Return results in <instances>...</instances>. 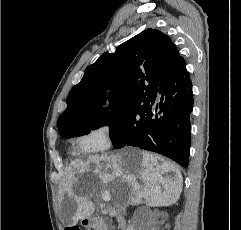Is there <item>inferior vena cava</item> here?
I'll use <instances>...</instances> for the list:
<instances>
[{
	"mask_svg": "<svg viewBox=\"0 0 241 230\" xmlns=\"http://www.w3.org/2000/svg\"><path fill=\"white\" fill-rule=\"evenodd\" d=\"M119 223H124V218L119 214L117 217Z\"/></svg>",
	"mask_w": 241,
	"mask_h": 230,
	"instance_id": "1",
	"label": "inferior vena cava"
}]
</instances>
